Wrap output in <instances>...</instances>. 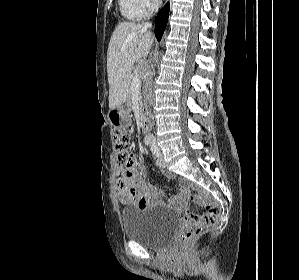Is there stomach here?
I'll use <instances>...</instances> for the list:
<instances>
[{"label": "stomach", "instance_id": "stomach-1", "mask_svg": "<svg viewBox=\"0 0 299 280\" xmlns=\"http://www.w3.org/2000/svg\"><path fill=\"white\" fill-rule=\"evenodd\" d=\"M130 109L127 104H122L108 113L110 124L117 129L127 128L130 123Z\"/></svg>", "mask_w": 299, "mask_h": 280}]
</instances>
